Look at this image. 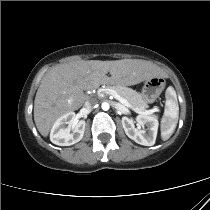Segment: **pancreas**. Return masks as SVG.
I'll use <instances>...</instances> for the list:
<instances>
[{
    "mask_svg": "<svg viewBox=\"0 0 210 210\" xmlns=\"http://www.w3.org/2000/svg\"><path fill=\"white\" fill-rule=\"evenodd\" d=\"M106 89H112L116 91L121 97H123L127 102L130 104V108H132L136 112H142L145 113L146 108H148L147 103L144 101L142 95L138 93L137 91L125 87L123 85H112V86H107L104 90ZM148 114V113H145ZM153 114V112L149 113Z\"/></svg>",
    "mask_w": 210,
    "mask_h": 210,
    "instance_id": "cf45deb5",
    "label": "pancreas"
}]
</instances>
